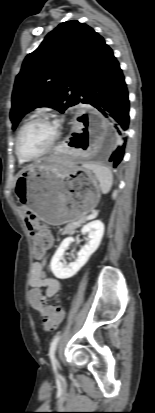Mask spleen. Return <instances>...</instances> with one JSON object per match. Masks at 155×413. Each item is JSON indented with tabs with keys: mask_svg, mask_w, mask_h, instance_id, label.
<instances>
[{
	"mask_svg": "<svg viewBox=\"0 0 155 413\" xmlns=\"http://www.w3.org/2000/svg\"><path fill=\"white\" fill-rule=\"evenodd\" d=\"M83 167L95 174L100 183L101 191L103 194H107L111 190L113 185V174L109 168L99 164L91 163L84 164ZM115 197L116 192L114 191L112 198L114 199Z\"/></svg>",
	"mask_w": 155,
	"mask_h": 413,
	"instance_id": "1",
	"label": "spleen"
}]
</instances>
